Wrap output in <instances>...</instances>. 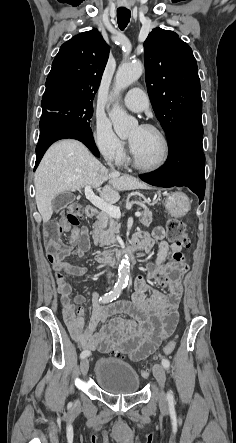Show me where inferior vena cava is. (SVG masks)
<instances>
[{"mask_svg":"<svg viewBox=\"0 0 236 443\" xmlns=\"http://www.w3.org/2000/svg\"><path fill=\"white\" fill-rule=\"evenodd\" d=\"M108 165L111 167V170H112L114 173H117V171H115L113 165L111 164V161H108ZM107 276H108V281H109L110 278H111V276H112V273L109 272Z\"/></svg>","mask_w":236,"mask_h":443,"instance_id":"602c4592","label":"inferior vena cava"}]
</instances>
